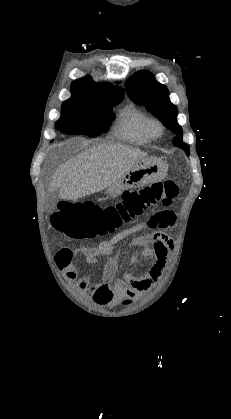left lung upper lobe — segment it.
Masks as SVG:
<instances>
[{
	"instance_id": "obj_1",
	"label": "left lung upper lobe",
	"mask_w": 231,
	"mask_h": 419,
	"mask_svg": "<svg viewBox=\"0 0 231 419\" xmlns=\"http://www.w3.org/2000/svg\"><path fill=\"white\" fill-rule=\"evenodd\" d=\"M125 87L131 100L136 104L145 105L165 127L176 134L173 144L189 155V146L181 141L182 128L177 123L178 109L170 102L166 86L157 82L150 72L140 71L126 81Z\"/></svg>"
}]
</instances>
